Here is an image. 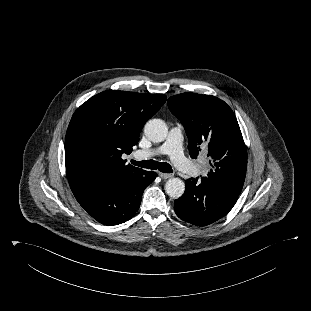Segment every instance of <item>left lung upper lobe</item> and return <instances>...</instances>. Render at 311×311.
<instances>
[{
	"label": "left lung upper lobe",
	"instance_id": "1",
	"mask_svg": "<svg viewBox=\"0 0 311 311\" xmlns=\"http://www.w3.org/2000/svg\"><path fill=\"white\" fill-rule=\"evenodd\" d=\"M167 105L185 128L191 158L206 152L211 165L206 177L239 195L246 176L247 152L232 109L215 96L191 92L171 96Z\"/></svg>",
	"mask_w": 311,
	"mask_h": 311
}]
</instances>
